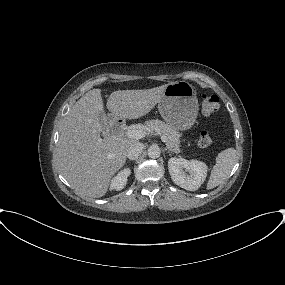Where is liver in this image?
Returning <instances> with one entry per match:
<instances>
[{
	"instance_id": "1",
	"label": "liver",
	"mask_w": 285,
	"mask_h": 285,
	"mask_svg": "<svg viewBox=\"0 0 285 285\" xmlns=\"http://www.w3.org/2000/svg\"><path fill=\"white\" fill-rule=\"evenodd\" d=\"M168 84L146 90H118L110 94L107 109L116 118L138 119L163 97ZM101 89H92L71 108L61 127L57 158L60 171L79 194L99 198L106 194L112 176L126 162L135 139L121 135L101 138Z\"/></svg>"
}]
</instances>
